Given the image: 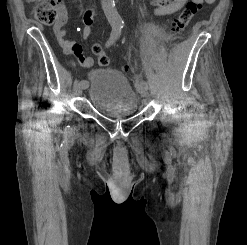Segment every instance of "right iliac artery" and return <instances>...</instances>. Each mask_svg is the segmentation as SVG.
<instances>
[{
	"label": "right iliac artery",
	"instance_id": "obj_1",
	"mask_svg": "<svg viewBox=\"0 0 247 245\" xmlns=\"http://www.w3.org/2000/svg\"><path fill=\"white\" fill-rule=\"evenodd\" d=\"M120 34H121V27L119 26L113 27L110 38L106 43V47H109L110 45H112L119 38ZM78 86L87 87L88 83L86 82V80H79Z\"/></svg>",
	"mask_w": 247,
	"mask_h": 245
}]
</instances>
